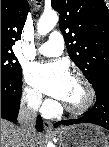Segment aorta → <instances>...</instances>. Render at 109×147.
I'll return each mask as SVG.
<instances>
[{
  "label": "aorta",
  "mask_w": 109,
  "mask_h": 147,
  "mask_svg": "<svg viewBox=\"0 0 109 147\" xmlns=\"http://www.w3.org/2000/svg\"><path fill=\"white\" fill-rule=\"evenodd\" d=\"M58 15L55 11L44 12L37 24V31L40 35H46L57 24ZM47 147H54L53 143L49 142Z\"/></svg>",
  "instance_id": "obj_1"
}]
</instances>
